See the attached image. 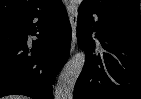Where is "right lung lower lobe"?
I'll return each instance as SVG.
<instances>
[{"label":"right lung lower lobe","instance_id":"1","mask_svg":"<svg viewBox=\"0 0 141 99\" xmlns=\"http://www.w3.org/2000/svg\"><path fill=\"white\" fill-rule=\"evenodd\" d=\"M28 35L38 39L31 44ZM71 27L61 0L0 20V97L53 99V81L69 56Z\"/></svg>","mask_w":141,"mask_h":99}]
</instances>
